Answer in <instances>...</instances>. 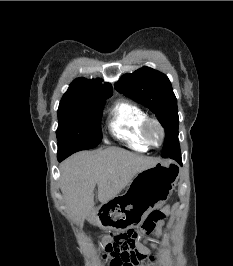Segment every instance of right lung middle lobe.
<instances>
[{"label": "right lung middle lobe", "mask_w": 233, "mask_h": 266, "mask_svg": "<svg viewBox=\"0 0 233 266\" xmlns=\"http://www.w3.org/2000/svg\"><path fill=\"white\" fill-rule=\"evenodd\" d=\"M109 98V97H107ZM107 98L60 102L58 109V156L96 147L102 140L100 121Z\"/></svg>", "instance_id": "right-lung-middle-lobe-1"}]
</instances>
